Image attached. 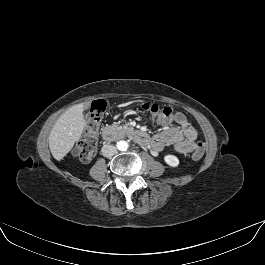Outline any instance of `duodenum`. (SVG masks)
I'll list each match as a JSON object with an SVG mask.
<instances>
[{"instance_id":"obj_1","label":"duodenum","mask_w":265,"mask_h":265,"mask_svg":"<svg viewBox=\"0 0 265 265\" xmlns=\"http://www.w3.org/2000/svg\"><path fill=\"white\" fill-rule=\"evenodd\" d=\"M123 135L124 132L121 129L110 126L104 127L101 132V137L105 143L111 142L112 140H115ZM129 136L143 146H147L150 144L149 136L140 129L131 131L129 133Z\"/></svg>"}]
</instances>
